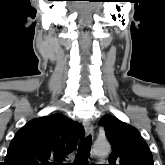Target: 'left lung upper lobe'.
Instances as JSON below:
<instances>
[{
    "label": "left lung upper lobe",
    "mask_w": 165,
    "mask_h": 165,
    "mask_svg": "<svg viewBox=\"0 0 165 165\" xmlns=\"http://www.w3.org/2000/svg\"><path fill=\"white\" fill-rule=\"evenodd\" d=\"M112 146L109 165H154L151 151L134 127L113 116L100 120Z\"/></svg>",
    "instance_id": "1"
}]
</instances>
